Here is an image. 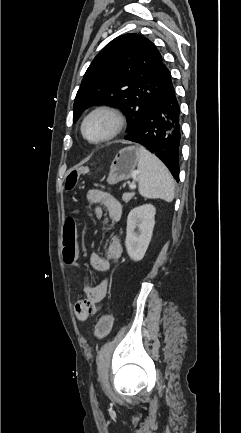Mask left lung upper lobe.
<instances>
[{
  "mask_svg": "<svg viewBox=\"0 0 241 433\" xmlns=\"http://www.w3.org/2000/svg\"><path fill=\"white\" fill-rule=\"evenodd\" d=\"M169 70L155 45L130 33L105 46L88 67L77 92L73 121L89 106H120L132 132L165 87Z\"/></svg>",
  "mask_w": 241,
  "mask_h": 433,
  "instance_id": "left-lung-upper-lobe-1",
  "label": "left lung upper lobe"
}]
</instances>
